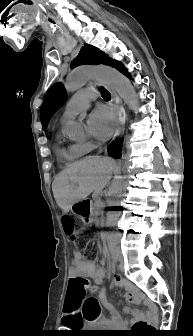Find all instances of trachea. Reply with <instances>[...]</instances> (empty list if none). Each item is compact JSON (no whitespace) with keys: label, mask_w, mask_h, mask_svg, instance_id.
<instances>
[{"label":"trachea","mask_w":193,"mask_h":336,"mask_svg":"<svg viewBox=\"0 0 193 336\" xmlns=\"http://www.w3.org/2000/svg\"><path fill=\"white\" fill-rule=\"evenodd\" d=\"M101 95L104 100L110 99V93L104 88H101Z\"/></svg>","instance_id":"obj_1"}]
</instances>
